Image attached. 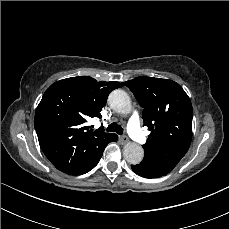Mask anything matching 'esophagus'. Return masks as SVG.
<instances>
[{"instance_id":"esophagus-1","label":"esophagus","mask_w":229,"mask_h":229,"mask_svg":"<svg viewBox=\"0 0 229 229\" xmlns=\"http://www.w3.org/2000/svg\"><path fill=\"white\" fill-rule=\"evenodd\" d=\"M119 140L121 141L122 144H125L129 141V138L128 136L120 135Z\"/></svg>"}]
</instances>
